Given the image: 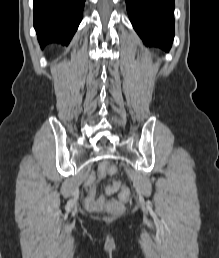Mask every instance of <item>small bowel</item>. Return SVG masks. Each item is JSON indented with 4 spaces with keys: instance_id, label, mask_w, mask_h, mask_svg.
<instances>
[{
    "instance_id": "c3829d8e",
    "label": "small bowel",
    "mask_w": 219,
    "mask_h": 258,
    "mask_svg": "<svg viewBox=\"0 0 219 258\" xmlns=\"http://www.w3.org/2000/svg\"><path fill=\"white\" fill-rule=\"evenodd\" d=\"M112 183H117V180H112ZM119 183H122V180H119Z\"/></svg>"
}]
</instances>
